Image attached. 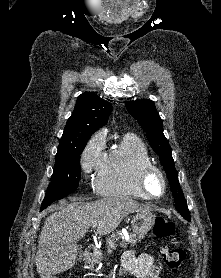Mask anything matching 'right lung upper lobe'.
<instances>
[{"label": "right lung upper lobe", "mask_w": 221, "mask_h": 278, "mask_svg": "<svg viewBox=\"0 0 221 278\" xmlns=\"http://www.w3.org/2000/svg\"><path fill=\"white\" fill-rule=\"evenodd\" d=\"M112 105L99 96L85 92L78 96L72 116L68 119L58 150L87 143L91 135L104 126Z\"/></svg>", "instance_id": "cb5924a9"}]
</instances>
